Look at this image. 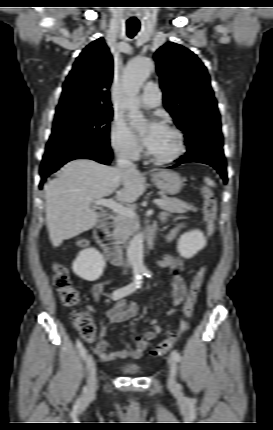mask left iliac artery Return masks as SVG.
<instances>
[{
    "instance_id": "44dca946",
    "label": "left iliac artery",
    "mask_w": 273,
    "mask_h": 430,
    "mask_svg": "<svg viewBox=\"0 0 273 430\" xmlns=\"http://www.w3.org/2000/svg\"><path fill=\"white\" fill-rule=\"evenodd\" d=\"M143 274H144L146 277H149V278L152 276V273H151L149 270H145V271L143 272ZM181 326H184V323H181ZM184 330H185V327H181V332H184ZM172 355H173V357L175 358V360H176V361H180V360H181L180 353H179L176 349H174V350L172 351Z\"/></svg>"
}]
</instances>
